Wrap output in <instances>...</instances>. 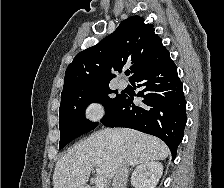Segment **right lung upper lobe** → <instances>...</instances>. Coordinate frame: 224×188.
Returning <instances> with one entry per match:
<instances>
[{
  "instance_id": "1",
  "label": "right lung upper lobe",
  "mask_w": 224,
  "mask_h": 188,
  "mask_svg": "<svg viewBox=\"0 0 224 188\" xmlns=\"http://www.w3.org/2000/svg\"><path fill=\"white\" fill-rule=\"evenodd\" d=\"M168 52L154 27L139 16L123 20L117 29L97 45L76 55L67 67L62 93L103 85L131 65L130 80L158 63Z\"/></svg>"
}]
</instances>
